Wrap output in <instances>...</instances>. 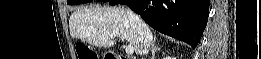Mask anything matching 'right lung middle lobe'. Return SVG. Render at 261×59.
<instances>
[{
	"label": "right lung middle lobe",
	"mask_w": 261,
	"mask_h": 59,
	"mask_svg": "<svg viewBox=\"0 0 261 59\" xmlns=\"http://www.w3.org/2000/svg\"><path fill=\"white\" fill-rule=\"evenodd\" d=\"M91 1L92 0H70L69 2H67V4L73 5V4H81V3L91 2ZM100 1H107V0H100Z\"/></svg>",
	"instance_id": "1"
}]
</instances>
